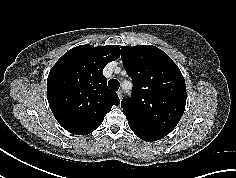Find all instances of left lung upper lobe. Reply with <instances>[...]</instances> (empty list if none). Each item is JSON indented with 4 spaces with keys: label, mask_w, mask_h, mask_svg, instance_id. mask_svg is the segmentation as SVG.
<instances>
[{
    "label": "left lung upper lobe",
    "mask_w": 236,
    "mask_h": 178,
    "mask_svg": "<svg viewBox=\"0 0 236 178\" xmlns=\"http://www.w3.org/2000/svg\"><path fill=\"white\" fill-rule=\"evenodd\" d=\"M121 59L133 80L131 98L121 102L131 129L168 135L181 119L186 85L178 66L152 45L121 46Z\"/></svg>",
    "instance_id": "left-lung-upper-lobe-1"
}]
</instances>
